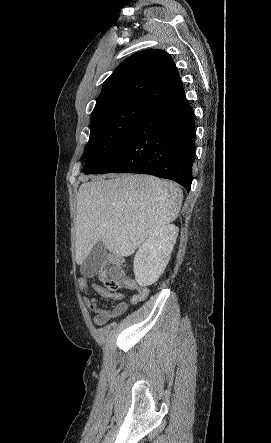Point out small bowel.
Segmentation results:
<instances>
[{
    "label": "small bowel",
    "instance_id": "1",
    "mask_svg": "<svg viewBox=\"0 0 271 443\" xmlns=\"http://www.w3.org/2000/svg\"><path fill=\"white\" fill-rule=\"evenodd\" d=\"M79 287L83 292L95 291L101 297L114 300L116 303L112 308H102L96 298L83 297V302L89 312L93 313V323L96 325H102L108 320L122 315L127 310V302L125 296L120 292H111L96 283H90L85 278L79 279ZM130 288H136L138 293L133 296L132 302L138 303L142 301L146 295L147 290L145 288L136 287L135 284H131Z\"/></svg>",
    "mask_w": 271,
    "mask_h": 443
}]
</instances>
